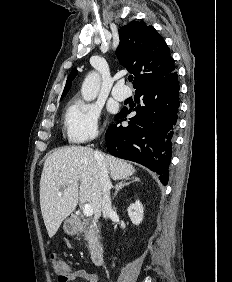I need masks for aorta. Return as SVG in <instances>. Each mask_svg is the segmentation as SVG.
Listing matches in <instances>:
<instances>
[{
	"label": "aorta",
	"mask_w": 232,
	"mask_h": 282,
	"mask_svg": "<svg viewBox=\"0 0 232 282\" xmlns=\"http://www.w3.org/2000/svg\"><path fill=\"white\" fill-rule=\"evenodd\" d=\"M100 89V76L97 72H90L84 79L81 94L85 101H91L96 98Z\"/></svg>",
	"instance_id": "obj_1"
}]
</instances>
